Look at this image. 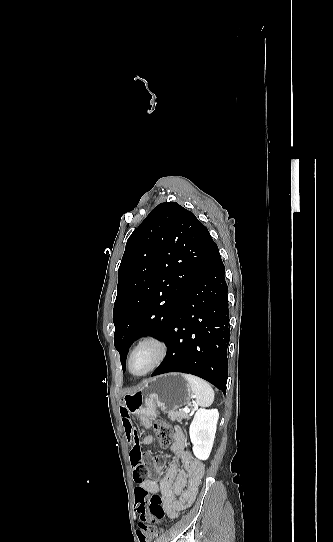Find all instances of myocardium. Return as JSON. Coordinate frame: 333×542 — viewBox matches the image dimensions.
Instances as JSON below:
<instances>
[{
    "instance_id": "obj_1",
    "label": "myocardium",
    "mask_w": 333,
    "mask_h": 542,
    "mask_svg": "<svg viewBox=\"0 0 333 542\" xmlns=\"http://www.w3.org/2000/svg\"><path fill=\"white\" fill-rule=\"evenodd\" d=\"M150 347L154 352V358L151 364L142 372H134L132 370V362L136 354L142 349ZM168 354L167 345L163 340L156 336H145L141 338L131 349L127 361L126 368L127 371L134 377H144L152 373L154 370L159 368L165 361Z\"/></svg>"
}]
</instances>
